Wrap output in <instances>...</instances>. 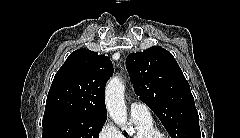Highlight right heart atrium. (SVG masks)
<instances>
[{
	"label": "right heart atrium",
	"instance_id": "1",
	"mask_svg": "<svg viewBox=\"0 0 240 138\" xmlns=\"http://www.w3.org/2000/svg\"><path fill=\"white\" fill-rule=\"evenodd\" d=\"M98 138H121V134L117 127L106 119L98 131Z\"/></svg>",
	"mask_w": 240,
	"mask_h": 138
}]
</instances>
